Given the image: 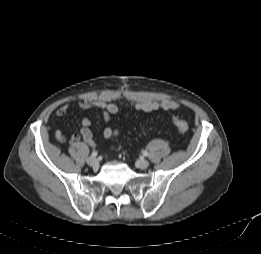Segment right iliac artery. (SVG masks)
I'll list each match as a JSON object with an SVG mask.
<instances>
[{"mask_svg": "<svg viewBox=\"0 0 261 254\" xmlns=\"http://www.w3.org/2000/svg\"><path fill=\"white\" fill-rule=\"evenodd\" d=\"M92 156H93V157H96V156H97V152H96V151H93V152H92Z\"/></svg>", "mask_w": 261, "mask_h": 254, "instance_id": "obj_1", "label": "right iliac artery"}]
</instances>
